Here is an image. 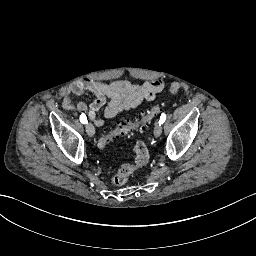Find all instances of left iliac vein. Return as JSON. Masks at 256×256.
<instances>
[{
	"mask_svg": "<svg viewBox=\"0 0 256 256\" xmlns=\"http://www.w3.org/2000/svg\"><path fill=\"white\" fill-rule=\"evenodd\" d=\"M161 133H162V126H161L160 123H157V124L155 125V128H154V135H155L156 137H160Z\"/></svg>",
	"mask_w": 256,
	"mask_h": 256,
	"instance_id": "1",
	"label": "left iliac vein"
}]
</instances>
